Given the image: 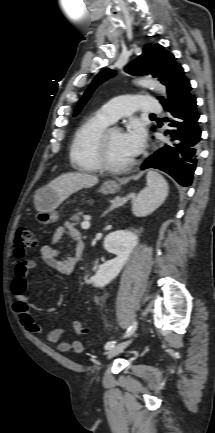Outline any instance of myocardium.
<instances>
[{"label":"myocardium","instance_id":"myocardium-1","mask_svg":"<svg viewBox=\"0 0 215 433\" xmlns=\"http://www.w3.org/2000/svg\"><path fill=\"white\" fill-rule=\"evenodd\" d=\"M113 128H107L100 136L97 144V161L101 167L109 172L119 173L132 168L136 164V160L132 159L124 164H113L108 155V138Z\"/></svg>","mask_w":215,"mask_h":433}]
</instances>
